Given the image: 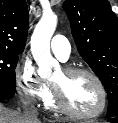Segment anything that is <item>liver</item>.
<instances>
[{
  "label": "liver",
  "instance_id": "6515ba94",
  "mask_svg": "<svg viewBox=\"0 0 118 123\" xmlns=\"http://www.w3.org/2000/svg\"><path fill=\"white\" fill-rule=\"evenodd\" d=\"M0 123H41L38 119L30 120L20 111H13L0 103Z\"/></svg>",
  "mask_w": 118,
  "mask_h": 123
}]
</instances>
